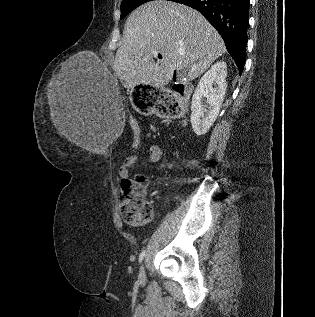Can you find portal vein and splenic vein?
<instances>
[{
  "mask_svg": "<svg viewBox=\"0 0 315 317\" xmlns=\"http://www.w3.org/2000/svg\"><path fill=\"white\" fill-rule=\"evenodd\" d=\"M196 70V68L195 67H192L191 69H190V71H195Z\"/></svg>",
  "mask_w": 315,
  "mask_h": 317,
  "instance_id": "1",
  "label": "portal vein and splenic vein"
}]
</instances>
